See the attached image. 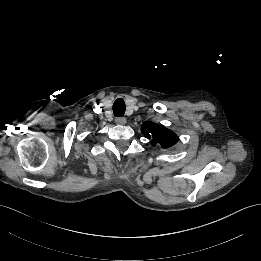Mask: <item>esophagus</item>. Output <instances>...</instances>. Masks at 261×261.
<instances>
[{
  "instance_id": "34e87169",
  "label": "esophagus",
  "mask_w": 261,
  "mask_h": 261,
  "mask_svg": "<svg viewBox=\"0 0 261 261\" xmlns=\"http://www.w3.org/2000/svg\"><path fill=\"white\" fill-rule=\"evenodd\" d=\"M115 123L118 125H124L126 124V119L124 117H118L115 119Z\"/></svg>"
}]
</instances>
